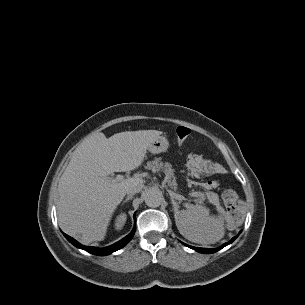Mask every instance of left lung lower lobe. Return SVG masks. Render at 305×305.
<instances>
[{
    "mask_svg": "<svg viewBox=\"0 0 305 305\" xmlns=\"http://www.w3.org/2000/svg\"><path fill=\"white\" fill-rule=\"evenodd\" d=\"M241 232V231H240ZM238 237L235 236L233 237L229 242H226L225 244H223L221 247H218V248H212V249H209V248H196V247H192V246H189L187 244H184L200 253H205V254H211V253H214V252H217L218 250L222 249L223 247L227 246L228 244L232 243L236 238Z\"/></svg>",
    "mask_w": 305,
    "mask_h": 305,
    "instance_id": "left-lung-lower-lobe-1",
    "label": "left lung lower lobe"
}]
</instances>
